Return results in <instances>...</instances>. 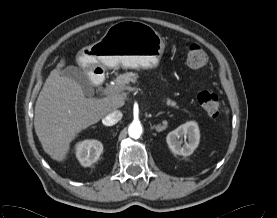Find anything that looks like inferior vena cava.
Listing matches in <instances>:
<instances>
[{"label":"inferior vena cava","mask_w":277,"mask_h":218,"mask_svg":"<svg viewBox=\"0 0 277 218\" xmlns=\"http://www.w3.org/2000/svg\"><path fill=\"white\" fill-rule=\"evenodd\" d=\"M122 113L119 110H114L112 112H110L109 114H107L103 119H102V123L105 126H113L115 125L117 122H119L122 119Z\"/></svg>","instance_id":"inferior-vena-cava-1"}]
</instances>
